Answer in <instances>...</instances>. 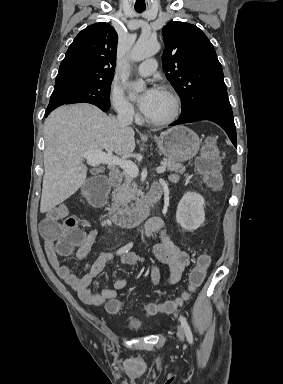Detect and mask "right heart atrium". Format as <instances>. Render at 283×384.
Listing matches in <instances>:
<instances>
[{
	"label": "right heart atrium",
	"mask_w": 283,
	"mask_h": 384,
	"mask_svg": "<svg viewBox=\"0 0 283 384\" xmlns=\"http://www.w3.org/2000/svg\"><path fill=\"white\" fill-rule=\"evenodd\" d=\"M110 103L117 114L124 118L130 119L135 115L133 104L127 99L123 90L116 84H111L109 89Z\"/></svg>",
	"instance_id": "d8ad5b80"
}]
</instances>
